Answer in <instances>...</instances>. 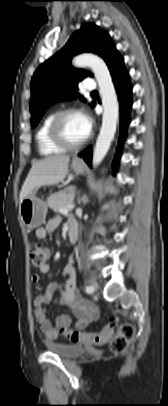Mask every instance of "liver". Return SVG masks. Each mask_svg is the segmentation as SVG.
<instances>
[{
  "label": "liver",
  "mask_w": 168,
  "mask_h": 406,
  "mask_svg": "<svg viewBox=\"0 0 168 406\" xmlns=\"http://www.w3.org/2000/svg\"><path fill=\"white\" fill-rule=\"evenodd\" d=\"M69 161L68 155H56L33 163L20 192V203L36 188L62 182L68 174Z\"/></svg>",
  "instance_id": "liver-1"
}]
</instances>
